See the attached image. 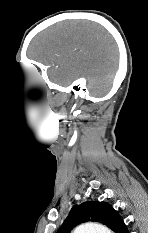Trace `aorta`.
Listing matches in <instances>:
<instances>
[{"label":"aorta","instance_id":"762f6f07","mask_svg":"<svg viewBox=\"0 0 148 233\" xmlns=\"http://www.w3.org/2000/svg\"><path fill=\"white\" fill-rule=\"evenodd\" d=\"M73 233H111V231L101 224L87 222L77 226Z\"/></svg>","mask_w":148,"mask_h":233}]
</instances>
